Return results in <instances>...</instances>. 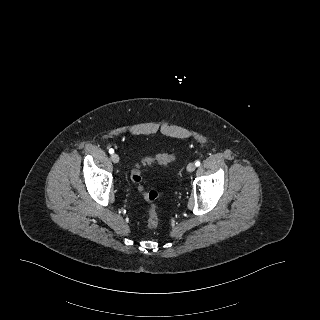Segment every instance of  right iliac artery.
<instances>
[{
	"label": "right iliac artery",
	"instance_id": "obj_1",
	"mask_svg": "<svg viewBox=\"0 0 320 320\" xmlns=\"http://www.w3.org/2000/svg\"><path fill=\"white\" fill-rule=\"evenodd\" d=\"M109 153L110 154H113L114 153V150L111 148V149H109Z\"/></svg>",
	"mask_w": 320,
	"mask_h": 320
}]
</instances>
